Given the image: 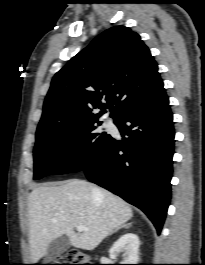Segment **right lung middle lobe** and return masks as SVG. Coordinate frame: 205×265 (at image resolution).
<instances>
[{
	"label": "right lung middle lobe",
	"mask_w": 205,
	"mask_h": 265,
	"mask_svg": "<svg viewBox=\"0 0 205 265\" xmlns=\"http://www.w3.org/2000/svg\"><path fill=\"white\" fill-rule=\"evenodd\" d=\"M101 123L92 120L38 130L33 155L34 180L83 170L111 138L98 128Z\"/></svg>",
	"instance_id": "right-lung-middle-lobe-1"
}]
</instances>
